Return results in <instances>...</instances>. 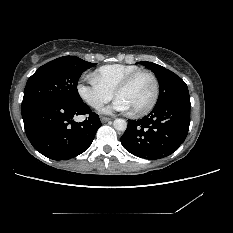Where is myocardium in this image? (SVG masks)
<instances>
[{
	"mask_svg": "<svg viewBox=\"0 0 233 233\" xmlns=\"http://www.w3.org/2000/svg\"><path fill=\"white\" fill-rule=\"evenodd\" d=\"M142 74H146L148 75L152 82H153V87H154V90H153V96L151 98V101L149 102V104L142 108V109H139V110H134L132 111V114L134 116H143V115H146L148 114L149 112L152 111V109L155 107L157 101H158V98H159V93H160V85H159V81H158V78L156 77V75L149 71V70H144V69H140L138 71H135L133 73H131L130 75H128L124 80H122L118 86L115 88L114 90V95L117 97V95L124 89H126L128 86L131 85V83L140 75Z\"/></svg>",
	"mask_w": 233,
	"mask_h": 233,
	"instance_id": "myocardium-1",
	"label": "myocardium"
}]
</instances>
